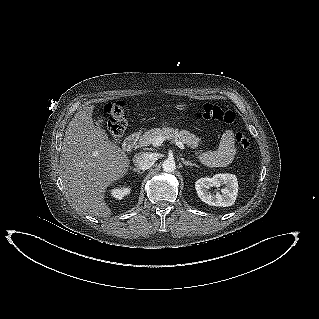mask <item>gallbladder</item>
Masks as SVG:
<instances>
[{"label":"gallbladder","mask_w":319,"mask_h":319,"mask_svg":"<svg viewBox=\"0 0 319 319\" xmlns=\"http://www.w3.org/2000/svg\"><path fill=\"white\" fill-rule=\"evenodd\" d=\"M96 123L99 125V124H102L103 123V119L102 118H97V121Z\"/></svg>","instance_id":"gallbladder-1"}]
</instances>
